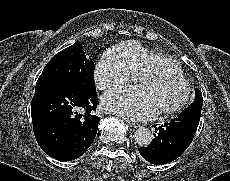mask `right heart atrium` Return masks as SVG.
Segmentation results:
<instances>
[{"label":"right heart atrium","instance_id":"d8ad5b80","mask_svg":"<svg viewBox=\"0 0 230 181\" xmlns=\"http://www.w3.org/2000/svg\"><path fill=\"white\" fill-rule=\"evenodd\" d=\"M130 75L117 70L113 64L107 62V57L95 68L96 85L102 89L117 88L130 79Z\"/></svg>","mask_w":230,"mask_h":181}]
</instances>
